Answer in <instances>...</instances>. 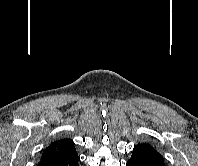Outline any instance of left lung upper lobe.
<instances>
[{"label":"left lung upper lobe","mask_w":198,"mask_h":166,"mask_svg":"<svg viewBox=\"0 0 198 166\" xmlns=\"http://www.w3.org/2000/svg\"><path fill=\"white\" fill-rule=\"evenodd\" d=\"M132 156L165 166L163 156L150 143H138L134 146Z\"/></svg>","instance_id":"1"}]
</instances>
